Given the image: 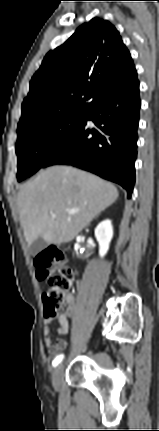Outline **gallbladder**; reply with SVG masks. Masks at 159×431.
<instances>
[{"label":"gallbladder","instance_id":"1","mask_svg":"<svg viewBox=\"0 0 159 431\" xmlns=\"http://www.w3.org/2000/svg\"><path fill=\"white\" fill-rule=\"evenodd\" d=\"M48 243L42 238L36 239L30 246V251L32 255H37L42 250L47 247Z\"/></svg>","mask_w":159,"mask_h":431}]
</instances>
